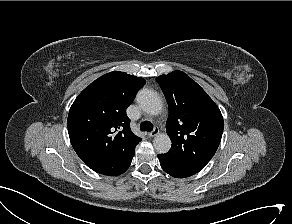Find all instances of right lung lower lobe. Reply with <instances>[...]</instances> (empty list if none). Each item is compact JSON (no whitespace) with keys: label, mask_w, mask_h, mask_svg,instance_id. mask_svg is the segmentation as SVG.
Masks as SVG:
<instances>
[{"label":"right lung lower lobe","mask_w":292,"mask_h":224,"mask_svg":"<svg viewBox=\"0 0 292 224\" xmlns=\"http://www.w3.org/2000/svg\"><path fill=\"white\" fill-rule=\"evenodd\" d=\"M135 152L130 156L116 159L85 160L84 163L97 173L107 176H118L125 172L132 161Z\"/></svg>","instance_id":"1"}]
</instances>
